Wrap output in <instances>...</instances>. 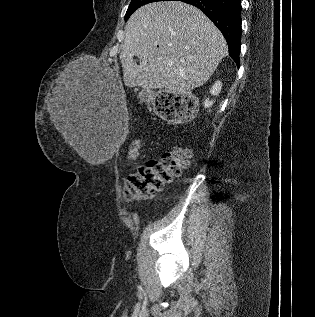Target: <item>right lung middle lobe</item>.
I'll list each match as a JSON object with an SVG mask.
<instances>
[{"label":"right lung middle lobe","mask_w":315,"mask_h":317,"mask_svg":"<svg viewBox=\"0 0 315 317\" xmlns=\"http://www.w3.org/2000/svg\"><path fill=\"white\" fill-rule=\"evenodd\" d=\"M157 1H173V0H132L125 15V21H127L128 18L131 16V14L139 7L145 4L157 2Z\"/></svg>","instance_id":"obj_1"}]
</instances>
